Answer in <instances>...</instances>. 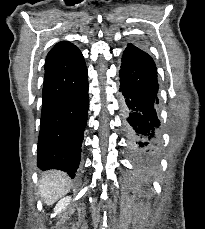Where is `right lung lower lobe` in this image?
Masks as SVG:
<instances>
[{
	"instance_id": "98d812e1",
	"label": "right lung lower lobe",
	"mask_w": 205,
	"mask_h": 229,
	"mask_svg": "<svg viewBox=\"0 0 205 229\" xmlns=\"http://www.w3.org/2000/svg\"><path fill=\"white\" fill-rule=\"evenodd\" d=\"M88 73L84 59L67 66L52 49L45 61L37 166L75 176L87 123Z\"/></svg>"
}]
</instances>
